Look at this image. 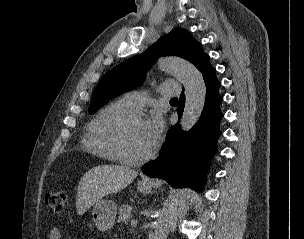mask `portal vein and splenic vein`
Here are the masks:
<instances>
[{
  "label": "portal vein and splenic vein",
  "mask_w": 304,
  "mask_h": 239,
  "mask_svg": "<svg viewBox=\"0 0 304 239\" xmlns=\"http://www.w3.org/2000/svg\"><path fill=\"white\" fill-rule=\"evenodd\" d=\"M136 224H137V220L133 219V220L131 221V225L134 226V225H136Z\"/></svg>",
  "instance_id": "1"
}]
</instances>
